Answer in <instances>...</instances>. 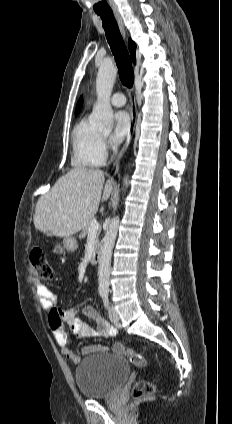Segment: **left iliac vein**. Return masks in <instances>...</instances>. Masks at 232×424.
Masks as SVG:
<instances>
[{
    "instance_id": "left-iliac-vein-1",
    "label": "left iliac vein",
    "mask_w": 232,
    "mask_h": 424,
    "mask_svg": "<svg viewBox=\"0 0 232 424\" xmlns=\"http://www.w3.org/2000/svg\"><path fill=\"white\" fill-rule=\"evenodd\" d=\"M108 312H109V319L111 320V322L118 325L120 323V317L117 311L115 310V308L109 307Z\"/></svg>"
}]
</instances>
